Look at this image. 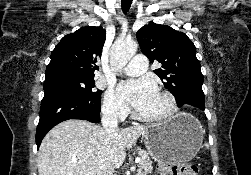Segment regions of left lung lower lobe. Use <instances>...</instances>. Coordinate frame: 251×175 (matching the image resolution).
<instances>
[{
  "instance_id": "obj_1",
  "label": "left lung lower lobe",
  "mask_w": 251,
  "mask_h": 175,
  "mask_svg": "<svg viewBox=\"0 0 251 175\" xmlns=\"http://www.w3.org/2000/svg\"><path fill=\"white\" fill-rule=\"evenodd\" d=\"M177 104L179 107H182L184 109V111L189 117H199L203 114V111L205 110V103L184 101L177 102Z\"/></svg>"
}]
</instances>
